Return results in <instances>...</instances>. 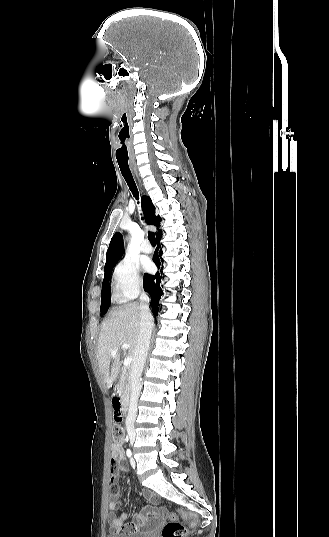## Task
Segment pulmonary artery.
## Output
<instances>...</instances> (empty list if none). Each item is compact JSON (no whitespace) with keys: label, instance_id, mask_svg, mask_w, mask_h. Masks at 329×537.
I'll use <instances>...</instances> for the list:
<instances>
[{"label":"pulmonary artery","instance_id":"pulmonary-artery-1","mask_svg":"<svg viewBox=\"0 0 329 537\" xmlns=\"http://www.w3.org/2000/svg\"><path fill=\"white\" fill-rule=\"evenodd\" d=\"M140 249L143 253H150L152 251V247L147 241L143 242Z\"/></svg>","mask_w":329,"mask_h":537}]
</instances>
